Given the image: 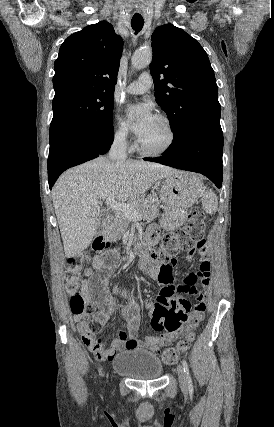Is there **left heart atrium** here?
I'll list each match as a JSON object with an SVG mask.
<instances>
[{"label":"left heart atrium","mask_w":274,"mask_h":427,"mask_svg":"<svg viewBox=\"0 0 274 427\" xmlns=\"http://www.w3.org/2000/svg\"><path fill=\"white\" fill-rule=\"evenodd\" d=\"M126 112L130 130L138 138L143 137L155 119L150 108L146 105H136L128 107Z\"/></svg>","instance_id":"39dd6f15"}]
</instances>
